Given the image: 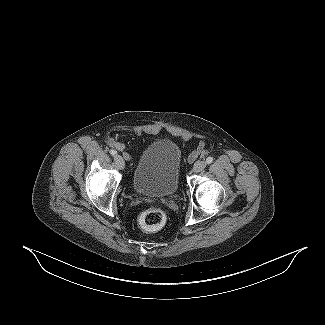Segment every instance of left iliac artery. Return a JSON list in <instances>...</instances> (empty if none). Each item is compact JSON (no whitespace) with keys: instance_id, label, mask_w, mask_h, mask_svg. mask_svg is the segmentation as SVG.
Instances as JSON below:
<instances>
[{"instance_id":"1","label":"left iliac artery","mask_w":325,"mask_h":325,"mask_svg":"<svg viewBox=\"0 0 325 325\" xmlns=\"http://www.w3.org/2000/svg\"><path fill=\"white\" fill-rule=\"evenodd\" d=\"M213 162V157L209 156L207 159H206V163L207 164H210Z\"/></svg>"}]
</instances>
